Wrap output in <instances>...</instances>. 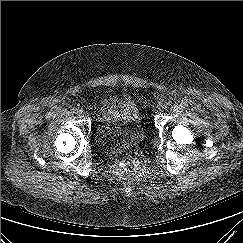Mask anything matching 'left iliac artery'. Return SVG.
I'll list each match as a JSON object with an SVG mask.
<instances>
[{"mask_svg": "<svg viewBox=\"0 0 243 243\" xmlns=\"http://www.w3.org/2000/svg\"><path fill=\"white\" fill-rule=\"evenodd\" d=\"M165 106H170V102H166V105Z\"/></svg>", "mask_w": 243, "mask_h": 243, "instance_id": "left-iliac-artery-1", "label": "left iliac artery"}]
</instances>
